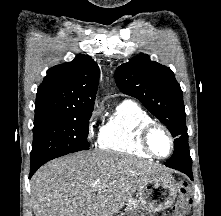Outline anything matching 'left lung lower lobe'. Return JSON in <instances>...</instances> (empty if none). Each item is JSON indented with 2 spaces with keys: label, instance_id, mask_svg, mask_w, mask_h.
I'll list each match as a JSON object with an SVG mask.
<instances>
[{
  "label": "left lung lower lobe",
  "instance_id": "0a47b994",
  "mask_svg": "<svg viewBox=\"0 0 221 216\" xmlns=\"http://www.w3.org/2000/svg\"><path fill=\"white\" fill-rule=\"evenodd\" d=\"M164 164L169 168L185 173L192 179V160L189 151L174 149L173 155Z\"/></svg>",
  "mask_w": 221,
  "mask_h": 216
}]
</instances>
